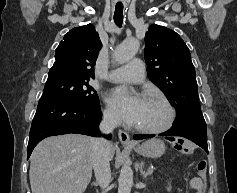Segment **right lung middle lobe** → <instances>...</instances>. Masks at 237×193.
Returning <instances> with one entry per match:
<instances>
[{
  "mask_svg": "<svg viewBox=\"0 0 237 193\" xmlns=\"http://www.w3.org/2000/svg\"><path fill=\"white\" fill-rule=\"evenodd\" d=\"M89 79L73 77L61 73H49L41 98H53L79 107L99 105V98Z\"/></svg>",
  "mask_w": 237,
  "mask_h": 193,
  "instance_id": "1",
  "label": "right lung middle lobe"
}]
</instances>
